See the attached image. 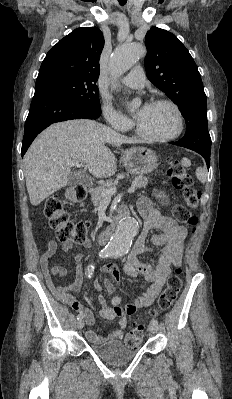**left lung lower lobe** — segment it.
<instances>
[{"instance_id":"1","label":"left lung lower lobe","mask_w":232,"mask_h":399,"mask_svg":"<svg viewBox=\"0 0 232 399\" xmlns=\"http://www.w3.org/2000/svg\"><path fill=\"white\" fill-rule=\"evenodd\" d=\"M171 144L178 145V146H182V145H180L178 142H171ZM182 147H185V146H182ZM185 148H188V147H185ZM188 149H191V150H193V151H196V152L199 153L201 156H203L204 159L206 160L207 167L209 168V163H210V151H200V150L192 149V148H188Z\"/></svg>"}]
</instances>
